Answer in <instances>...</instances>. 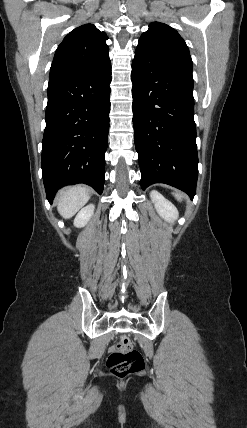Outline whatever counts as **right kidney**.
<instances>
[{
	"mask_svg": "<svg viewBox=\"0 0 247 428\" xmlns=\"http://www.w3.org/2000/svg\"><path fill=\"white\" fill-rule=\"evenodd\" d=\"M94 209L95 206L93 204L82 208L74 219V226L78 228L84 227L92 217Z\"/></svg>",
	"mask_w": 247,
	"mask_h": 428,
	"instance_id": "obj_1",
	"label": "right kidney"
}]
</instances>
